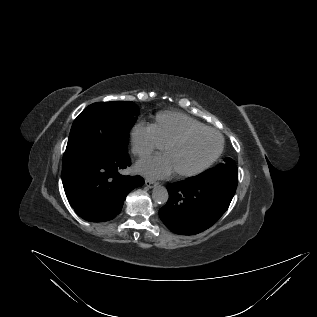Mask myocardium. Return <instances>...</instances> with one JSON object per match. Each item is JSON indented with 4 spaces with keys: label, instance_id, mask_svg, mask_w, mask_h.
I'll return each mask as SVG.
<instances>
[{
    "label": "myocardium",
    "instance_id": "f54148a6",
    "mask_svg": "<svg viewBox=\"0 0 317 317\" xmlns=\"http://www.w3.org/2000/svg\"><path fill=\"white\" fill-rule=\"evenodd\" d=\"M206 131L215 133L216 135H218V137L220 139L219 146H218L217 150L215 151V153L209 159H207L205 162H203L202 164H200L196 168H193V169H190L187 171L174 172L175 176L180 177V178L191 177V176H195V175L205 171L207 168H209L219 158V156L221 155V153L224 149V137L217 129L204 126V127H199V128L186 129L183 132L179 133L178 135L174 136L173 138L169 139L163 145V152L165 153L170 147L175 146L177 144H180L181 142L186 140L189 136H191L193 134L201 133V132H206Z\"/></svg>",
    "mask_w": 317,
    "mask_h": 317
}]
</instances>
